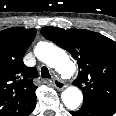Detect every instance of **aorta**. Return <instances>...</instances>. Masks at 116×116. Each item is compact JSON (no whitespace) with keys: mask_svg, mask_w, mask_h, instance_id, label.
<instances>
[{"mask_svg":"<svg viewBox=\"0 0 116 116\" xmlns=\"http://www.w3.org/2000/svg\"><path fill=\"white\" fill-rule=\"evenodd\" d=\"M34 54L39 60L49 65L61 75L70 76L75 71V65L68 55L51 43H38L34 49ZM61 98L69 110H75L80 106L83 94L79 88L71 86L62 92Z\"/></svg>","mask_w":116,"mask_h":116,"instance_id":"1","label":"aorta"}]
</instances>
